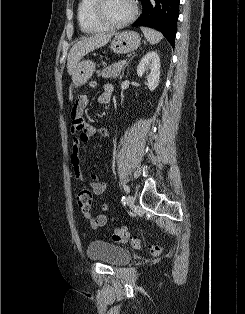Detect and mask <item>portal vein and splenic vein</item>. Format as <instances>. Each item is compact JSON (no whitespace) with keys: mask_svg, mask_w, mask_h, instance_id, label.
I'll return each instance as SVG.
<instances>
[{"mask_svg":"<svg viewBox=\"0 0 245 314\" xmlns=\"http://www.w3.org/2000/svg\"><path fill=\"white\" fill-rule=\"evenodd\" d=\"M125 64H126V61L123 60V61L121 62V65L124 66Z\"/></svg>","mask_w":245,"mask_h":314,"instance_id":"portal-vein-and-splenic-vein-1","label":"portal vein and splenic vein"}]
</instances>
